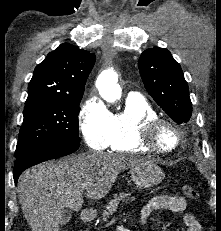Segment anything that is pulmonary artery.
Listing matches in <instances>:
<instances>
[{"mask_svg": "<svg viewBox=\"0 0 221 231\" xmlns=\"http://www.w3.org/2000/svg\"><path fill=\"white\" fill-rule=\"evenodd\" d=\"M128 97H140V94L138 92H135V91H131L129 92V95Z\"/></svg>", "mask_w": 221, "mask_h": 231, "instance_id": "1", "label": "pulmonary artery"}]
</instances>
